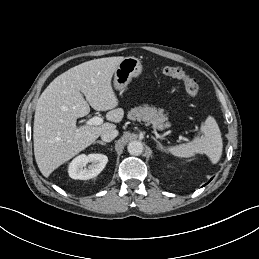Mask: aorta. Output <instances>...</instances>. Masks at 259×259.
Instances as JSON below:
<instances>
[{
  "mask_svg": "<svg viewBox=\"0 0 259 259\" xmlns=\"http://www.w3.org/2000/svg\"><path fill=\"white\" fill-rule=\"evenodd\" d=\"M127 150L131 155L138 156L143 152V143L139 140L131 141Z\"/></svg>",
  "mask_w": 259,
  "mask_h": 259,
  "instance_id": "obj_1",
  "label": "aorta"
}]
</instances>
